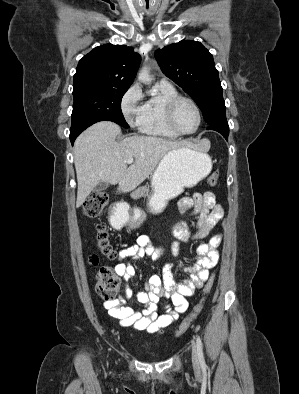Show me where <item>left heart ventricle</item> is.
<instances>
[{
    "mask_svg": "<svg viewBox=\"0 0 299 394\" xmlns=\"http://www.w3.org/2000/svg\"><path fill=\"white\" fill-rule=\"evenodd\" d=\"M175 123L177 127L185 132L193 131L198 123V116L191 104L181 102L175 111Z\"/></svg>",
    "mask_w": 299,
    "mask_h": 394,
    "instance_id": "b2bd125f",
    "label": "left heart ventricle"
}]
</instances>
